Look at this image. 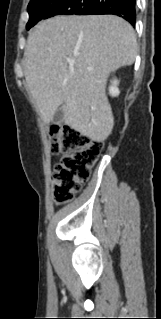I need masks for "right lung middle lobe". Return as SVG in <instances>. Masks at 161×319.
I'll return each instance as SVG.
<instances>
[{
	"mask_svg": "<svg viewBox=\"0 0 161 319\" xmlns=\"http://www.w3.org/2000/svg\"><path fill=\"white\" fill-rule=\"evenodd\" d=\"M89 0H31L28 5L27 30L40 20L55 15H72L82 9Z\"/></svg>",
	"mask_w": 161,
	"mask_h": 319,
	"instance_id": "1",
	"label": "right lung middle lobe"
}]
</instances>
